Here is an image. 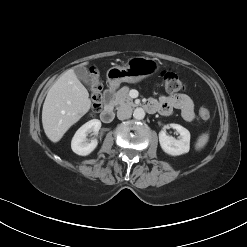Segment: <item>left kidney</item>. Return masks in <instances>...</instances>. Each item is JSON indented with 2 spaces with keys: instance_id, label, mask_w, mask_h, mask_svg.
I'll list each match as a JSON object with an SVG mask.
<instances>
[{
  "instance_id": "1",
  "label": "left kidney",
  "mask_w": 247,
  "mask_h": 247,
  "mask_svg": "<svg viewBox=\"0 0 247 247\" xmlns=\"http://www.w3.org/2000/svg\"><path fill=\"white\" fill-rule=\"evenodd\" d=\"M179 134V139L166 134L164 130L159 133V142L162 150L171 155L179 156L189 152L190 149V132L181 125L171 124Z\"/></svg>"
}]
</instances>
